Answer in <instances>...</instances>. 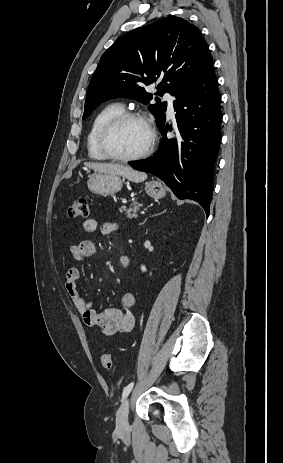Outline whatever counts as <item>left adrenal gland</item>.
Here are the masks:
<instances>
[{"instance_id": "1", "label": "left adrenal gland", "mask_w": 283, "mask_h": 463, "mask_svg": "<svg viewBox=\"0 0 283 463\" xmlns=\"http://www.w3.org/2000/svg\"><path fill=\"white\" fill-rule=\"evenodd\" d=\"M165 212H166V209L163 210V211H162L161 213H159L158 215L163 214V213H165ZM145 222H146V220L144 221V223H145ZM144 223H143V224H144Z\"/></svg>"}]
</instances>
